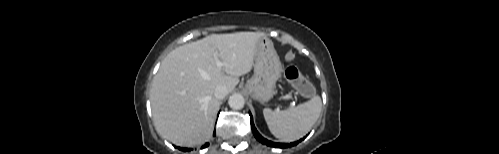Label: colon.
<instances>
[{
	"instance_id": "colon-1",
	"label": "colon",
	"mask_w": 499,
	"mask_h": 154,
	"mask_svg": "<svg viewBox=\"0 0 499 154\" xmlns=\"http://www.w3.org/2000/svg\"><path fill=\"white\" fill-rule=\"evenodd\" d=\"M285 77L303 96L309 97L314 93L312 83L300 72L297 67L293 65L287 66L285 69Z\"/></svg>"
}]
</instances>
